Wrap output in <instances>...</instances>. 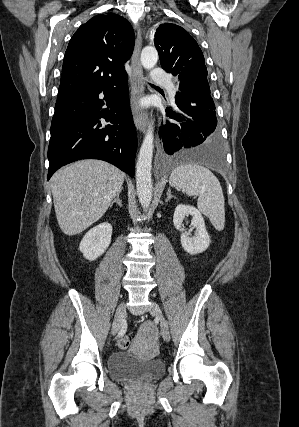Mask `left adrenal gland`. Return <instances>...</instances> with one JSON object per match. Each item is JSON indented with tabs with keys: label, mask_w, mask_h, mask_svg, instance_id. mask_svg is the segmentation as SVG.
<instances>
[{
	"label": "left adrenal gland",
	"mask_w": 299,
	"mask_h": 427,
	"mask_svg": "<svg viewBox=\"0 0 299 427\" xmlns=\"http://www.w3.org/2000/svg\"><path fill=\"white\" fill-rule=\"evenodd\" d=\"M174 196L171 194V189L168 188L167 191V198H166V202H168L171 198H173Z\"/></svg>",
	"instance_id": "1"
}]
</instances>
